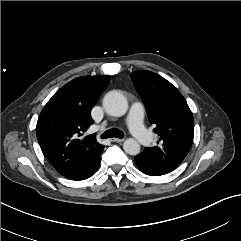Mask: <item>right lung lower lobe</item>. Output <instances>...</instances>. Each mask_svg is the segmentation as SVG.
<instances>
[{"label": "right lung lower lobe", "instance_id": "obj_1", "mask_svg": "<svg viewBox=\"0 0 241 241\" xmlns=\"http://www.w3.org/2000/svg\"><path fill=\"white\" fill-rule=\"evenodd\" d=\"M102 152V151H101ZM101 152L93 160L86 162L67 173L64 177L71 180H84L91 177L98 169Z\"/></svg>", "mask_w": 241, "mask_h": 241}]
</instances>
